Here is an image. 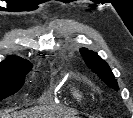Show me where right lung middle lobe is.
Instances as JSON below:
<instances>
[{
    "instance_id": "dd1d6c3e",
    "label": "right lung middle lobe",
    "mask_w": 133,
    "mask_h": 118,
    "mask_svg": "<svg viewBox=\"0 0 133 118\" xmlns=\"http://www.w3.org/2000/svg\"><path fill=\"white\" fill-rule=\"evenodd\" d=\"M32 66L0 69V101L21 89Z\"/></svg>"
}]
</instances>
